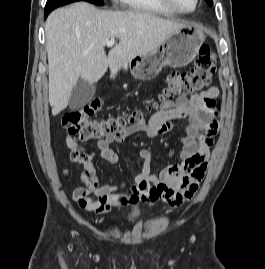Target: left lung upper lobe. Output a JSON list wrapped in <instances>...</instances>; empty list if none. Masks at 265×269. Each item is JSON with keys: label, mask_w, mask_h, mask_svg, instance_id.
<instances>
[{"label": "left lung upper lobe", "mask_w": 265, "mask_h": 269, "mask_svg": "<svg viewBox=\"0 0 265 269\" xmlns=\"http://www.w3.org/2000/svg\"><path fill=\"white\" fill-rule=\"evenodd\" d=\"M209 6L213 5V0H205Z\"/></svg>", "instance_id": "left-lung-upper-lobe-1"}]
</instances>
